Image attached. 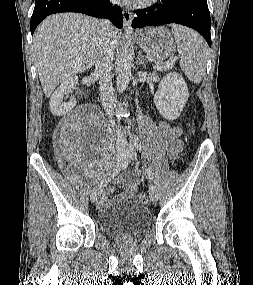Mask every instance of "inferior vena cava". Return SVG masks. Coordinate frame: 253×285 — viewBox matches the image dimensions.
Here are the masks:
<instances>
[{
	"label": "inferior vena cava",
	"mask_w": 253,
	"mask_h": 285,
	"mask_svg": "<svg viewBox=\"0 0 253 285\" xmlns=\"http://www.w3.org/2000/svg\"><path fill=\"white\" fill-rule=\"evenodd\" d=\"M119 0H111L117 4ZM100 39L99 49L96 55L95 70L99 75L100 99L103 108L110 111L113 108L114 95L112 87L111 69L113 66V57L115 46L111 40L110 29L112 28L109 21H100Z\"/></svg>",
	"instance_id": "inferior-vena-cava-1"
}]
</instances>
